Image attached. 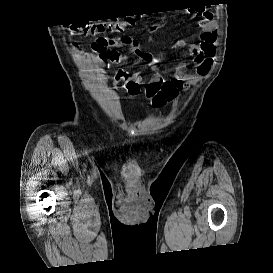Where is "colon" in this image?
<instances>
[{
  "mask_svg": "<svg viewBox=\"0 0 273 273\" xmlns=\"http://www.w3.org/2000/svg\"><path fill=\"white\" fill-rule=\"evenodd\" d=\"M132 20H115L109 22H98L92 24H85L80 26V30L84 33L96 35L102 33H115L121 32L131 24ZM78 29V28H77Z\"/></svg>",
  "mask_w": 273,
  "mask_h": 273,
  "instance_id": "5ec220e1",
  "label": "colon"
}]
</instances>
